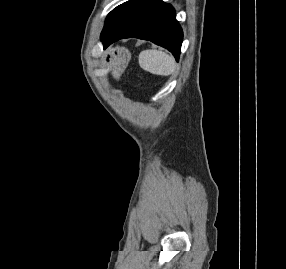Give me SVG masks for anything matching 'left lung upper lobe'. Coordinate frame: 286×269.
Listing matches in <instances>:
<instances>
[{"instance_id": "obj_1", "label": "left lung upper lobe", "mask_w": 286, "mask_h": 269, "mask_svg": "<svg viewBox=\"0 0 286 269\" xmlns=\"http://www.w3.org/2000/svg\"><path fill=\"white\" fill-rule=\"evenodd\" d=\"M143 0H129L109 13L103 30L113 28L124 16L137 7Z\"/></svg>"}]
</instances>
